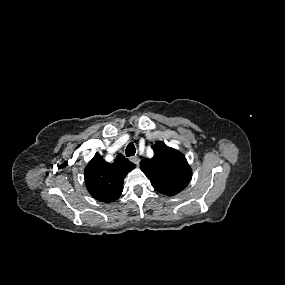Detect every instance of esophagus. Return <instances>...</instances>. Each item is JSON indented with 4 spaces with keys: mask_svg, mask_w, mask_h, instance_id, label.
<instances>
[{
    "mask_svg": "<svg viewBox=\"0 0 285 285\" xmlns=\"http://www.w3.org/2000/svg\"><path fill=\"white\" fill-rule=\"evenodd\" d=\"M130 160H131L133 163H135L137 166L139 165L140 160H139V157H138V156H133V157L130 158Z\"/></svg>",
    "mask_w": 285,
    "mask_h": 285,
    "instance_id": "esophagus-1",
    "label": "esophagus"
}]
</instances>
